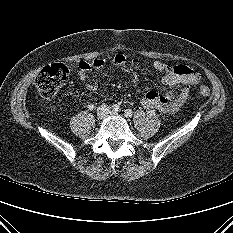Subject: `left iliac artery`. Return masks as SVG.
<instances>
[{"label": "left iliac artery", "mask_w": 233, "mask_h": 233, "mask_svg": "<svg viewBox=\"0 0 233 233\" xmlns=\"http://www.w3.org/2000/svg\"><path fill=\"white\" fill-rule=\"evenodd\" d=\"M124 115H125V117L129 118V117H132L133 112H132L131 109H126V110L124 111Z\"/></svg>", "instance_id": "obj_1"}]
</instances>
